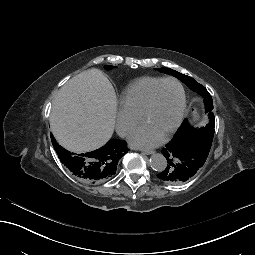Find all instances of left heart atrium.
<instances>
[{"instance_id":"1","label":"left heart atrium","mask_w":255,"mask_h":255,"mask_svg":"<svg viewBox=\"0 0 255 255\" xmlns=\"http://www.w3.org/2000/svg\"><path fill=\"white\" fill-rule=\"evenodd\" d=\"M163 138L145 125L135 128L131 135L130 141L138 147H153L162 142Z\"/></svg>"}]
</instances>
